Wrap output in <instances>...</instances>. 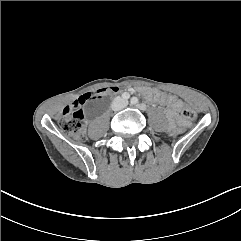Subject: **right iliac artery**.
I'll return each mask as SVG.
<instances>
[{
	"mask_svg": "<svg viewBox=\"0 0 241 241\" xmlns=\"http://www.w3.org/2000/svg\"><path fill=\"white\" fill-rule=\"evenodd\" d=\"M122 98L125 99V100H127V99L130 98V94L127 93V92H124V93L122 94Z\"/></svg>",
	"mask_w": 241,
	"mask_h": 241,
	"instance_id": "82829eb1",
	"label": "right iliac artery"
}]
</instances>
